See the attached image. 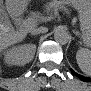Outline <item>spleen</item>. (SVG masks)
<instances>
[{
  "instance_id": "3e777b00",
  "label": "spleen",
  "mask_w": 91,
  "mask_h": 91,
  "mask_svg": "<svg viewBox=\"0 0 91 91\" xmlns=\"http://www.w3.org/2000/svg\"><path fill=\"white\" fill-rule=\"evenodd\" d=\"M77 64L85 74L91 72V51L88 48H81L76 53Z\"/></svg>"
}]
</instances>
